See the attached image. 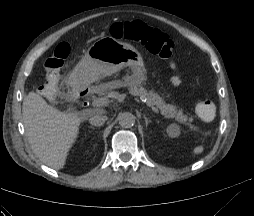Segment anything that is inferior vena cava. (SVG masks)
Masks as SVG:
<instances>
[{
	"mask_svg": "<svg viewBox=\"0 0 254 216\" xmlns=\"http://www.w3.org/2000/svg\"><path fill=\"white\" fill-rule=\"evenodd\" d=\"M107 120V116L101 113H94L90 116L89 122L94 126H102Z\"/></svg>",
	"mask_w": 254,
	"mask_h": 216,
	"instance_id": "obj_1",
	"label": "inferior vena cava"
}]
</instances>
